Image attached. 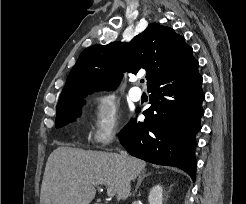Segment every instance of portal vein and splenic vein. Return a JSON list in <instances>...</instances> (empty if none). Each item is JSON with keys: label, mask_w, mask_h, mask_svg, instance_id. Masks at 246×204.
<instances>
[{"label": "portal vein and splenic vein", "mask_w": 246, "mask_h": 204, "mask_svg": "<svg viewBox=\"0 0 246 204\" xmlns=\"http://www.w3.org/2000/svg\"><path fill=\"white\" fill-rule=\"evenodd\" d=\"M106 193L108 196H114L115 195V190L113 187H107L106 188Z\"/></svg>", "instance_id": "18ae733b"}]
</instances>
